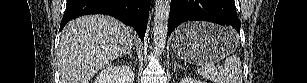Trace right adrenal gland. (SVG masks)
Here are the masks:
<instances>
[{
  "mask_svg": "<svg viewBox=\"0 0 307 83\" xmlns=\"http://www.w3.org/2000/svg\"><path fill=\"white\" fill-rule=\"evenodd\" d=\"M123 56H129L132 59L133 58L132 57V48H129L127 50V52H125L124 54L121 55V57H123Z\"/></svg>",
  "mask_w": 307,
  "mask_h": 83,
  "instance_id": "obj_1",
  "label": "right adrenal gland"
}]
</instances>
